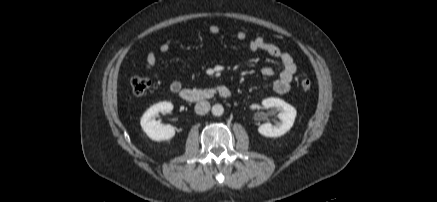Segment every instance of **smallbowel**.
Segmentation results:
<instances>
[{"mask_svg":"<svg viewBox=\"0 0 437 202\" xmlns=\"http://www.w3.org/2000/svg\"><path fill=\"white\" fill-rule=\"evenodd\" d=\"M208 30L213 35H217L220 32V28L216 25L209 26ZM236 39L238 41H244L246 39V33L243 31L237 32ZM171 46L172 41L170 39H166L159 46L160 53H168L171 49ZM247 49L249 52L263 51L281 63L282 69L278 75V78L273 83V89L279 94L288 92L290 90L293 77L297 71V66L292 56L289 53L281 50L274 43L267 41L262 36L252 38L248 42ZM145 68L152 73L156 79L160 78V74L158 72V58L154 51H149L146 54ZM261 74L265 77H271L275 74V70L272 67H263L261 69ZM182 87L183 85L180 80H174L170 84V90L174 93L179 92Z\"/></svg>","mask_w":437,"mask_h":202,"instance_id":"1","label":"small bowel"}]
</instances>
